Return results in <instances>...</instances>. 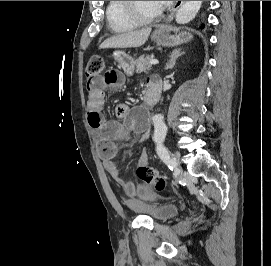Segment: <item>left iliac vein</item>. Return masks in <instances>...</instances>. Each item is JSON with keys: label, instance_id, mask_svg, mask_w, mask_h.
Returning a JSON list of instances; mask_svg holds the SVG:
<instances>
[{"label": "left iliac vein", "instance_id": "left-iliac-vein-1", "mask_svg": "<svg viewBox=\"0 0 271 266\" xmlns=\"http://www.w3.org/2000/svg\"><path fill=\"white\" fill-rule=\"evenodd\" d=\"M172 160L175 162V167H176L177 173L179 174V176H181L182 170H181L180 167H179V163H180V155H179L178 152H174V153L172 154Z\"/></svg>", "mask_w": 271, "mask_h": 266}]
</instances>
